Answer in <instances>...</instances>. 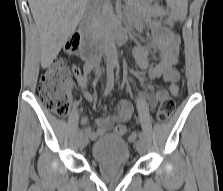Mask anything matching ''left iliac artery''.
<instances>
[{
	"label": "left iliac artery",
	"instance_id": "44dca946",
	"mask_svg": "<svg viewBox=\"0 0 223 191\" xmlns=\"http://www.w3.org/2000/svg\"><path fill=\"white\" fill-rule=\"evenodd\" d=\"M138 137H139V139H142V140H144V138H145L143 132H139Z\"/></svg>",
	"mask_w": 223,
	"mask_h": 191
}]
</instances>
